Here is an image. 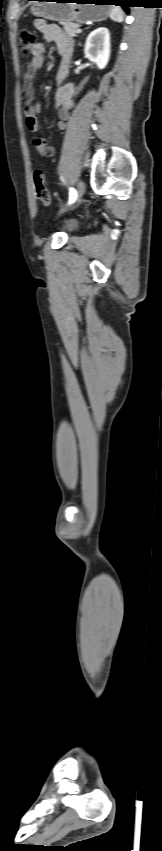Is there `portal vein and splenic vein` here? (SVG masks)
<instances>
[{
  "label": "portal vein and splenic vein",
  "mask_w": 162,
  "mask_h": 851,
  "mask_svg": "<svg viewBox=\"0 0 162 851\" xmlns=\"http://www.w3.org/2000/svg\"><path fill=\"white\" fill-rule=\"evenodd\" d=\"M81 32H82V30H81V29H78V33H81Z\"/></svg>",
  "instance_id": "portal-vein-and-splenic-vein-1"
}]
</instances>
